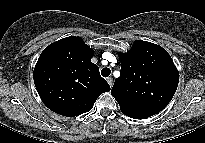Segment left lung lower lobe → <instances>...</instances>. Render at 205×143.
I'll return each instance as SVG.
<instances>
[{
	"instance_id": "obj_1",
	"label": "left lung lower lobe",
	"mask_w": 205,
	"mask_h": 143,
	"mask_svg": "<svg viewBox=\"0 0 205 143\" xmlns=\"http://www.w3.org/2000/svg\"><path fill=\"white\" fill-rule=\"evenodd\" d=\"M154 114H157V113H130V114H125L131 118H134V119H145V118H148Z\"/></svg>"
}]
</instances>
